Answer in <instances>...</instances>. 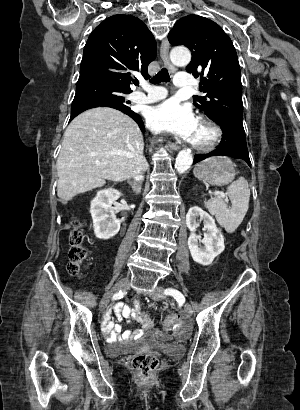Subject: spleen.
I'll return each instance as SVG.
<instances>
[{"label":"spleen","instance_id":"spleen-1","mask_svg":"<svg viewBox=\"0 0 300 410\" xmlns=\"http://www.w3.org/2000/svg\"><path fill=\"white\" fill-rule=\"evenodd\" d=\"M227 194L231 208H227L226 203L219 198H211L207 202V208L226 232L233 233L243 221L249 207L250 189L247 180L240 177L227 187Z\"/></svg>","mask_w":300,"mask_h":410}]
</instances>
